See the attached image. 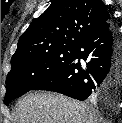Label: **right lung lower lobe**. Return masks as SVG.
<instances>
[{"instance_id":"right-lung-lower-lobe-1","label":"right lung lower lobe","mask_w":122,"mask_h":123,"mask_svg":"<svg viewBox=\"0 0 122 123\" xmlns=\"http://www.w3.org/2000/svg\"><path fill=\"white\" fill-rule=\"evenodd\" d=\"M80 58L88 60L86 65L76 61ZM121 88L122 42L115 25L109 21L79 45L69 65L33 90L58 92L80 101L106 95L115 102Z\"/></svg>"}]
</instances>
